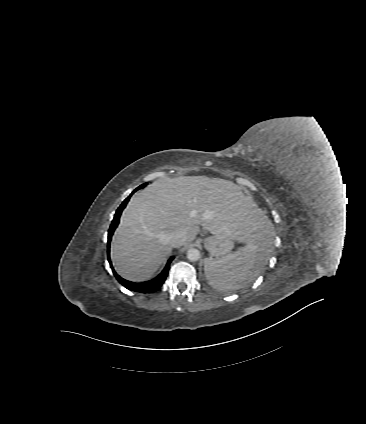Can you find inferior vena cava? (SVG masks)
<instances>
[{
	"mask_svg": "<svg viewBox=\"0 0 366 424\" xmlns=\"http://www.w3.org/2000/svg\"><path fill=\"white\" fill-rule=\"evenodd\" d=\"M187 239L186 233L184 231H179L174 233L171 237H170V244L173 247H178L180 245H182Z\"/></svg>",
	"mask_w": 366,
	"mask_h": 424,
	"instance_id": "inferior-vena-cava-1",
	"label": "inferior vena cava"
}]
</instances>
